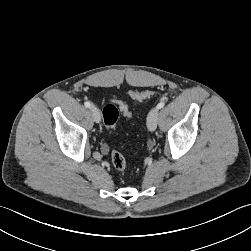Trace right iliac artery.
Masks as SVG:
<instances>
[{
  "mask_svg": "<svg viewBox=\"0 0 251 251\" xmlns=\"http://www.w3.org/2000/svg\"><path fill=\"white\" fill-rule=\"evenodd\" d=\"M84 105H85V107H87V108H90V107H91V103H90V102H88V101H87V102H85V103H84Z\"/></svg>",
  "mask_w": 251,
  "mask_h": 251,
  "instance_id": "right-iliac-artery-1",
  "label": "right iliac artery"
}]
</instances>
